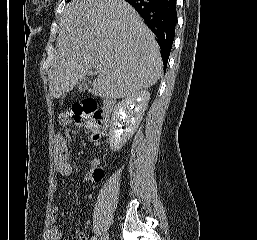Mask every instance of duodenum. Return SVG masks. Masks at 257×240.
Segmentation results:
<instances>
[{"label":"duodenum","instance_id":"1","mask_svg":"<svg viewBox=\"0 0 257 240\" xmlns=\"http://www.w3.org/2000/svg\"><path fill=\"white\" fill-rule=\"evenodd\" d=\"M116 106V101L110 97H104V112L106 121L109 120L111 113Z\"/></svg>","mask_w":257,"mask_h":240}]
</instances>
